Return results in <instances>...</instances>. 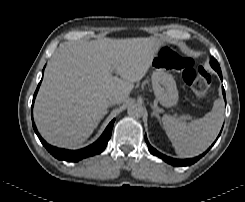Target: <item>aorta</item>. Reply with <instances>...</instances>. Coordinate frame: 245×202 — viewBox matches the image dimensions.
I'll list each match as a JSON object with an SVG mask.
<instances>
[{
    "label": "aorta",
    "instance_id": "1",
    "mask_svg": "<svg viewBox=\"0 0 245 202\" xmlns=\"http://www.w3.org/2000/svg\"><path fill=\"white\" fill-rule=\"evenodd\" d=\"M143 107L139 103H131L128 105V115L134 118H140L143 115Z\"/></svg>",
    "mask_w": 245,
    "mask_h": 202
}]
</instances>
